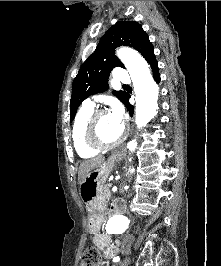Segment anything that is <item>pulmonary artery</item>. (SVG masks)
I'll list each match as a JSON object with an SVG mask.
<instances>
[{
	"mask_svg": "<svg viewBox=\"0 0 221 266\" xmlns=\"http://www.w3.org/2000/svg\"><path fill=\"white\" fill-rule=\"evenodd\" d=\"M115 78L117 82L128 83L130 77L128 73L120 66L115 68ZM83 106L94 108L95 104L92 98H87L83 101Z\"/></svg>",
	"mask_w": 221,
	"mask_h": 266,
	"instance_id": "e3ab8cb5",
	"label": "pulmonary artery"
}]
</instances>
